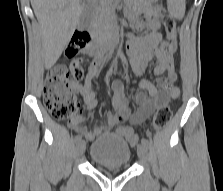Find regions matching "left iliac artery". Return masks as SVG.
<instances>
[{
    "mask_svg": "<svg viewBox=\"0 0 223 191\" xmlns=\"http://www.w3.org/2000/svg\"><path fill=\"white\" fill-rule=\"evenodd\" d=\"M141 142H142V144L145 145L147 148L149 147V142H148L147 139L143 138Z\"/></svg>",
    "mask_w": 223,
    "mask_h": 191,
    "instance_id": "obj_1",
    "label": "left iliac artery"
}]
</instances>
